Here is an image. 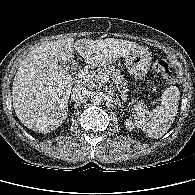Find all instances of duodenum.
Wrapping results in <instances>:
<instances>
[{"label": "duodenum", "instance_id": "1", "mask_svg": "<svg viewBox=\"0 0 195 195\" xmlns=\"http://www.w3.org/2000/svg\"><path fill=\"white\" fill-rule=\"evenodd\" d=\"M87 69H88L87 67H86V68H84V70L82 71V73L84 74V72H86V71H87Z\"/></svg>", "mask_w": 195, "mask_h": 195}]
</instances>
